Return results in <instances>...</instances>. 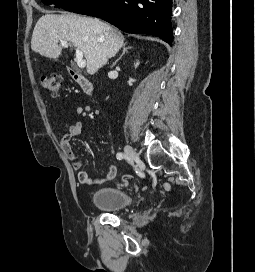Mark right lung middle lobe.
I'll list each match as a JSON object with an SVG mask.
<instances>
[{"instance_id":"right-lung-middle-lobe-1","label":"right lung middle lobe","mask_w":255,"mask_h":272,"mask_svg":"<svg viewBox=\"0 0 255 272\" xmlns=\"http://www.w3.org/2000/svg\"><path fill=\"white\" fill-rule=\"evenodd\" d=\"M98 1L99 0H42L46 5L55 4L58 8L78 14H86Z\"/></svg>"}]
</instances>
